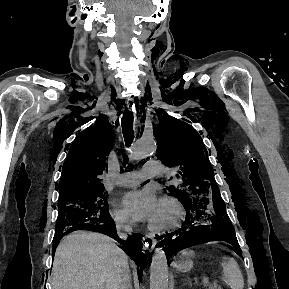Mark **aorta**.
<instances>
[{
	"instance_id": "aorta-1",
	"label": "aorta",
	"mask_w": 289,
	"mask_h": 289,
	"mask_svg": "<svg viewBox=\"0 0 289 289\" xmlns=\"http://www.w3.org/2000/svg\"><path fill=\"white\" fill-rule=\"evenodd\" d=\"M157 145L153 137H141L133 146L130 158L142 160L156 154ZM150 289H168V264L161 247L155 249L150 267Z\"/></svg>"
}]
</instances>
